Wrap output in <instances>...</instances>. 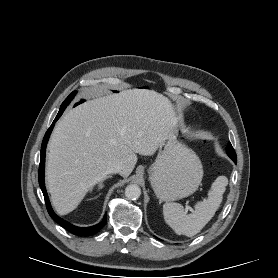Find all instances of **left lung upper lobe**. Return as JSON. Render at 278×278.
I'll return each instance as SVG.
<instances>
[{
	"instance_id": "1",
	"label": "left lung upper lobe",
	"mask_w": 278,
	"mask_h": 278,
	"mask_svg": "<svg viewBox=\"0 0 278 278\" xmlns=\"http://www.w3.org/2000/svg\"><path fill=\"white\" fill-rule=\"evenodd\" d=\"M226 150H227L228 156H229L232 160L237 159L236 153H235V151H234V149H233L231 143L228 144V146L226 147Z\"/></svg>"
}]
</instances>
